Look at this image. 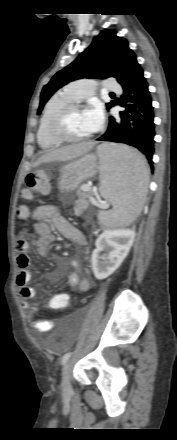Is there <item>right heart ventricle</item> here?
<instances>
[{
	"instance_id": "right-heart-ventricle-1",
	"label": "right heart ventricle",
	"mask_w": 177,
	"mask_h": 440,
	"mask_svg": "<svg viewBox=\"0 0 177 440\" xmlns=\"http://www.w3.org/2000/svg\"><path fill=\"white\" fill-rule=\"evenodd\" d=\"M74 102H76V100L68 93L67 89L57 92L47 101L37 128V141L41 148L51 149L60 144L49 135L48 125L51 118L59 109Z\"/></svg>"
}]
</instances>
